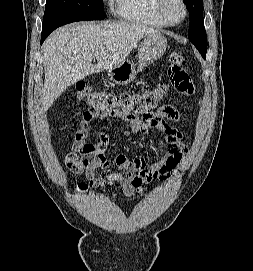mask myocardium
<instances>
[{"instance_id":"myocardium-1","label":"myocardium","mask_w":253,"mask_h":271,"mask_svg":"<svg viewBox=\"0 0 253 271\" xmlns=\"http://www.w3.org/2000/svg\"><path fill=\"white\" fill-rule=\"evenodd\" d=\"M155 9L159 17L168 25V26H178L185 21L188 14L187 5L184 0H178L183 9V16L179 21H173L166 11L167 0H155Z\"/></svg>"}]
</instances>
